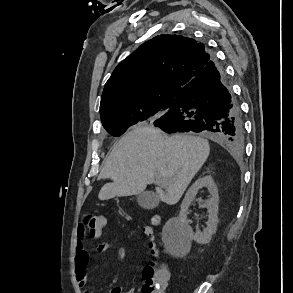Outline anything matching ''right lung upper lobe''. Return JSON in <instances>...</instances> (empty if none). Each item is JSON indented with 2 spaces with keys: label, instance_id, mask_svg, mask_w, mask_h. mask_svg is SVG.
<instances>
[{
  "label": "right lung upper lobe",
  "instance_id": "cb5924a9",
  "mask_svg": "<svg viewBox=\"0 0 293 293\" xmlns=\"http://www.w3.org/2000/svg\"><path fill=\"white\" fill-rule=\"evenodd\" d=\"M204 45L177 35H160L123 60L106 82L100 116L126 115L176 98L211 61Z\"/></svg>",
  "mask_w": 293,
  "mask_h": 293
}]
</instances>
